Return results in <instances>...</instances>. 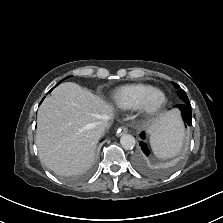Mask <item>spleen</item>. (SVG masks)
<instances>
[{
	"instance_id": "1",
	"label": "spleen",
	"mask_w": 223,
	"mask_h": 223,
	"mask_svg": "<svg viewBox=\"0 0 223 223\" xmlns=\"http://www.w3.org/2000/svg\"><path fill=\"white\" fill-rule=\"evenodd\" d=\"M184 137V127L178 117H176L173 124L164 131L151 134L150 145L158 158H173L181 151Z\"/></svg>"
}]
</instances>
